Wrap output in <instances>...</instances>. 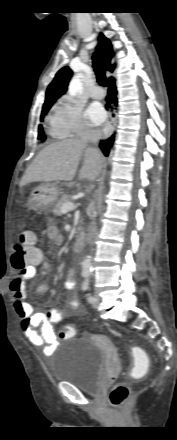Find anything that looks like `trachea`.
I'll return each instance as SVG.
<instances>
[{
	"label": "trachea",
	"mask_w": 177,
	"mask_h": 440,
	"mask_svg": "<svg viewBox=\"0 0 177 440\" xmlns=\"http://www.w3.org/2000/svg\"><path fill=\"white\" fill-rule=\"evenodd\" d=\"M92 59L97 82L101 86H106L105 66L101 56L98 53H94Z\"/></svg>",
	"instance_id": "3493384b"
}]
</instances>
